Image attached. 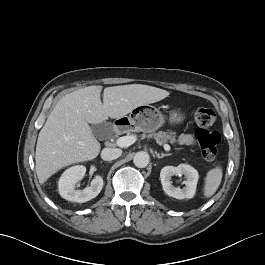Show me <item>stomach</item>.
<instances>
[{"instance_id":"stomach-1","label":"stomach","mask_w":265,"mask_h":265,"mask_svg":"<svg viewBox=\"0 0 265 265\" xmlns=\"http://www.w3.org/2000/svg\"><path fill=\"white\" fill-rule=\"evenodd\" d=\"M123 118H125L122 121L125 129L145 133L153 132L165 123V118L162 113L154 106L148 104L135 107L129 116H123L119 119L121 120ZM184 118V114L178 110H173L170 113L169 122L171 124L181 123Z\"/></svg>"}]
</instances>
